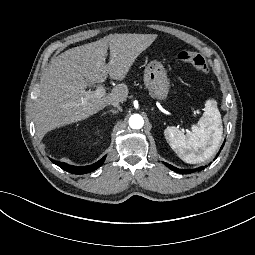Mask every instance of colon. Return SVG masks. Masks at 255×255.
<instances>
[{
  "label": "colon",
  "mask_w": 255,
  "mask_h": 255,
  "mask_svg": "<svg viewBox=\"0 0 255 255\" xmlns=\"http://www.w3.org/2000/svg\"><path fill=\"white\" fill-rule=\"evenodd\" d=\"M176 57L180 61L191 64L198 72L202 74L208 73V65L200 54L191 50L180 49L177 51Z\"/></svg>",
  "instance_id": "obj_1"
}]
</instances>
